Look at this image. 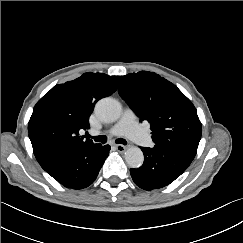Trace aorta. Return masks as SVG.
Returning a JSON list of instances; mask_svg holds the SVG:
<instances>
[{
    "label": "aorta",
    "mask_w": 243,
    "mask_h": 243,
    "mask_svg": "<svg viewBox=\"0 0 243 243\" xmlns=\"http://www.w3.org/2000/svg\"><path fill=\"white\" fill-rule=\"evenodd\" d=\"M96 114L106 122H114L121 116V105L113 98H103L99 100L95 107ZM125 160L131 168H139L144 162V155L140 148L129 147L125 152Z\"/></svg>",
    "instance_id": "1"
}]
</instances>
